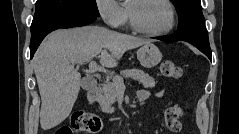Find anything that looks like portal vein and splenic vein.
<instances>
[{
    "label": "portal vein and splenic vein",
    "instance_id": "obj_1",
    "mask_svg": "<svg viewBox=\"0 0 239 134\" xmlns=\"http://www.w3.org/2000/svg\"><path fill=\"white\" fill-rule=\"evenodd\" d=\"M79 64H82V63H79ZM89 69L92 70V71H99V72H104V73H108L109 72L106 68L97 65V63L95 61H90ZM118 87H120V88H124L125 87L124 83H123V80H120Z\"/></svg>",
    "mask_w": 239,
    "mask_h": 134
}]
</instances>
